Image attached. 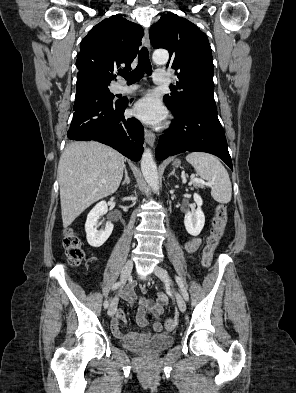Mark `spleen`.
<instances>
[{
    "label": "spleen",
    "mask_w": 296,
    "mask_h": 393,
    "mask_svg": "<svg viewBox=\"0 0 296 393\" xmlns=\"http://www.w3.org/2000/svg\"><path fill=\"white\" fill-rule=\"evenodd\" d=\"M197 175L211 184V196L219 203H228L232 197V185L225 167L213 155L192 152L186 156Z\"/></svg>",
    "instance_id": "obj_1"
}]
</instances>
